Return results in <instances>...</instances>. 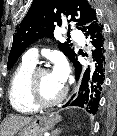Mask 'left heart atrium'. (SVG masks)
I'll return each instance as SVG.
<instances>
[{"mask_svg": "<svg viewBox=\"0 0 117 136\" xmlns=\"http://www.w3.org/2000/svg\"><path fill=\"white\" fill-rule=\"evenodd\" d=\"M51 72L53 76L64 85L68 74V67L66 62L62 59L57 60Z\"/></svg>", "mask_w": 117, "mask_h": 136, "instance_id": "1", "label": "left heart atrium"}]
</instances>
